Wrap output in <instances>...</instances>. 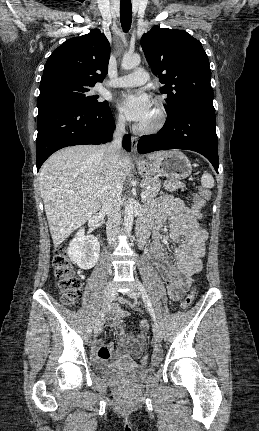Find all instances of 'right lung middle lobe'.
Here are the masks:
<instances>
[{
  "label": "right lung middle lobe",
  "mask_w": 259,
  "mask_h": 431,
  "mask_svg": "<svg viewBox=\"0 0 259 431\" xmlns=\"http://www.w3.org/2000/svg\"><path fill=\"white\" fill-rule=\"evenodd\" d=\"M91 87H81L67 81H52L42 87L38 97V109L56 103H74L89 108L108 107L107 101H99L98 95H90Z\"/></svg>",
  "instance_id": "right-lung-middle-lobe-1"
}]
</instances>
